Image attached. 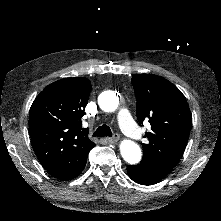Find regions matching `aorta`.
<instances>
[{
    "label": "aorta",
    "mask_w": 221,
    "mask_h": 221,
    "mask_svg": "<svg viewBox=\"0 0 221 221\" xmlns=\"http://www.w3.org/2000/svg\"><path fill=\"white\" fill-rule=\"evenodd\" d=\"M118 104L119 100L112 91L105 92L99 97V106L105 112H114ZM120 153L122 158L131 165L139 163L142 158V152L139 145L127 139L120 143Z\"/></svg>",
    "instance_id": "762f6f07"
}]
</instances>
